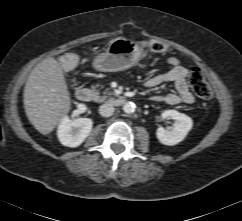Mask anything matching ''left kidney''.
I'll return each instance as SVG.
<instances>
[{"label": "left kidney", "instance_id": "1", "mask_svg": "<svg viewBox=\"0 0 242 221\" xmlns=\"http://www.w3.org/2000/svg\"><path fill=\"white\" fill-rule=\"evenodd\" d=\"M162 118L176 121L171 131L163 127L157 129V139L164 145L173 146L183 141L193 126V121L189 116L176 110H165L162 113Z\"/></svg>", "mask_w": 242, "mask_h": 221}]
</instances>
